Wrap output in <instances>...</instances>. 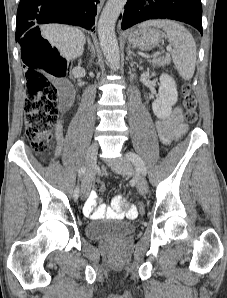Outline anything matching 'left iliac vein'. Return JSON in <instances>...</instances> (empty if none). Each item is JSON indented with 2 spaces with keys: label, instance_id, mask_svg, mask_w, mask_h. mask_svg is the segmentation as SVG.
<instances>
[{
  "label": "left iliac vein",
  "instance_id": "obj_1",
  "mask_svg": "<svg viewBox=\"0 0 227 298\" xmlns=\"http://www.w3.org/2000/svg\"><path fill=\"white\" fill-rule=\"evenodd\" d=\"M111 168L114 172L121 175H130L133 173L132 165L127 159H120L118 162L114 163ZM136 185L141 194L148 192V183L143 176H136Z\"/></svg>",
  "mask_w": 227,
  "mask_h": 298
}]
</instances>
